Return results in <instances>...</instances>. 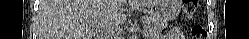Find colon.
<instances>
[{"label":"colon","mask_w":249,"mask_h":39,"mask_svg":"<svg viewBox=\"0 0 249 39\" xmlns=\"http://www.w3.org/2000/svg\"><path fill=\"white\" fill-rule=\"evenodd\" d=\"M198 0H185L183 3V12L188 16L194 14L198 9ZM192 35L195 39H200L205 36V30L200 25H193Z\"/></svg>","instance_id":"colon-1"}]
</instances>
